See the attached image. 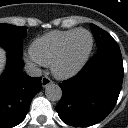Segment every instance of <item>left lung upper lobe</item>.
Here are the masks:
<instances>
[{
    "label": "left lung upper lobe",
    "instance_id": "5c2ea615",
    "mask_svg": "<svg viewBox=\"0 0 128 128\" xmlns=\"http://www.w3.org/2000/svg\"><path fill=\"white\" fill-rule=\"evenodd\" d=\"M90 28L96 40L97 51L103 48L118 46L117 42L112 38V36L108 32L104 31L103 29L99 28L94 24H91Z\"/></svg>",
    "mask_w": 128,
    "mask_h": 128
}]
</instances>
